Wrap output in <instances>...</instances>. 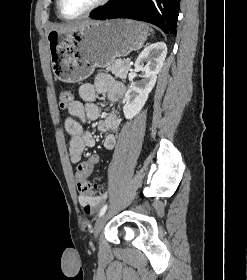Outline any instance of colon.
Masks as SVG:
<instances>
[{"label":"colon","mask_w":247,"mask_h":280,"mask_svg":"<svg viewBox=\"0 0 247 280\" xmlns=\"http://www.w3.org/2000/svg\"><path fill=\"white\" fill-rule=\"evenodd\" d=\"M74 102L73 92L69 89H64L59 94V104L60 107L65 109L68 108ZM99 157L97 155H93L87 161L81 162L75 174L77 189L82 195H91L94 196L97 192L96 188H94L89 182V177L93 171V166L98 162Z\"/></svg>","instance_id":"colon-1"}]
</instances>
